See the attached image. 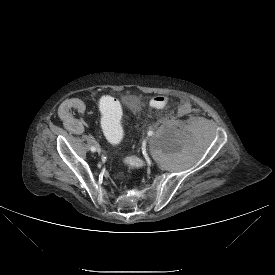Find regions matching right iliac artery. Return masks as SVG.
<instances>
[{
    "mask_svg": "<svg viewBox=\"0 0 275 275\" xmlns=\"http://www.w3.org/2000/svg\"><path fill=\"white\" fill-rule=\"evenodd\" d=\"M90 149H91L92 152H95V151H96V148L93 147V146H92Z\"/></svg>",
    "mask_w": 275,
    "mask_h": 275,
    "instance_id": "82829eb1",
    "label": "right iliac artery"
}]
</instances>
